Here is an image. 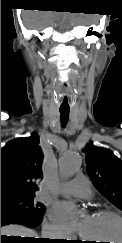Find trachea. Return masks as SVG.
<instances>
[{"mask_svg": "<svg viewBox=\"0 0 122 243\" xmlns=\"http://www.w3.org/2000/svg\"><path fill=\"white\" fill-rule=\"evenodd\" d=\"M59 112H60L61 123H62V125H65L69 118L70 109L69 108H67V109L60 108Z\"/></svg>", "mask_w": 122, "mask_h": 243, "instance_id": "3493384b", "label": "trachea"}]
</instances>
